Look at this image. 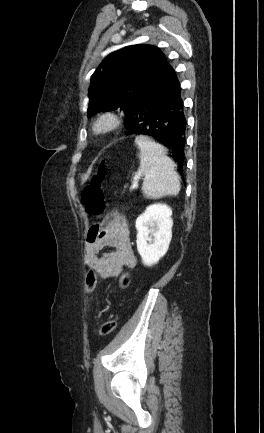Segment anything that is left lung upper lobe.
<instances>
[{"instance_id":"1","label":"left lung upper lobe","mask_w":264,"mask_h":433,"mask_svg":"<svg viewBox=\"0 0 264 433\" xmlns=\"http://www.w3.org/2000/svg\"><path fill=\"white\" fill-rule=\"evenodd\" d=\"M153 45H133L112 52L91 77L88 115L120 108L128 113L138 95L167 65Z\"/></svg>"}]
</instances>
